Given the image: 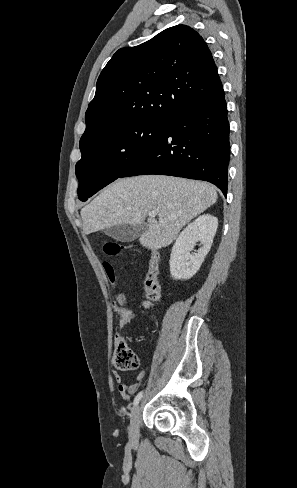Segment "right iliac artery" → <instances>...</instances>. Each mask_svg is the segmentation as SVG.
<instances>
[{"instance_id":"obj_1","label":"right iliac artery","mask_w":297,"mask_h":488,"mask_svg":"<svg viewBox=\"0 0 297 488\" xmlns=\"http://www.w3.org/2000/svg\"><path fill=\"white\" fill-rule=\"evenodd\" d=\"M142 396H143V392H142V391H141V392H139V393L136 395V397L134 398V401H133V405H134V406H136V405H137V404L140 402V400H141Z\"/></svg>"}]
</instances>
